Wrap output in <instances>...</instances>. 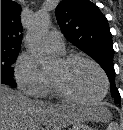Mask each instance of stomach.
Returning a JSON list of instances; mask_svg holds the SVG:
<instances>
[{
  "label": "stomach",
  "mask_w": 123,
  "mask_h": 130,
  "mask_svg": "<svg viewBox=\"0 0 123 130\" xmlns=\"http://www.w3.org/2000/svg\"><path fill=\"white\" fill-rule=\"evenodd\" d=\"M69 130H92L87 124L83 122H77L72 125V128Z\"/></svg>",
  "instance_id": "stomach-1"
}]
</instances>
